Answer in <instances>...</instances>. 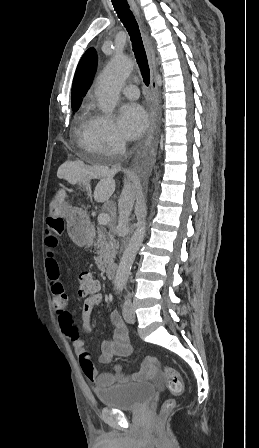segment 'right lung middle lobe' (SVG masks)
<instances>
[{"label": "right lung middle lobe", "mask_w": 259, "mask_h": 448, "mask_svg": "<svg viewBox=\"0 0 259 448\" xmlns=\"http://www.w3.org/2000/svg\"><path fill=\"white\" fill-rule=\"evenodd\" d=\"M77 109H78V108H74V109H72V110H73V111H77Z\"/></svg>", "instance_id": "dd1d6c3e"}]
</instances>
